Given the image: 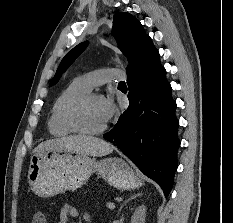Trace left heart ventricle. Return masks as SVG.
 <instances>
[{"instance_id": "obj_1", "label": "left heart ventricle", "mask_w": 233, "mask_h": 223, "mask_svg": "<svg viewBox=\"0 0 233 223\" xmlns=\"http://www.w3.org/2000/svg\"><path fill=\"white\" fill-rule=\"evenodd\" d=\"M104 124L99 113V98L92 99L84 109L82 125L85 129L93 131Z\"/></svg>"}]
</instances>
